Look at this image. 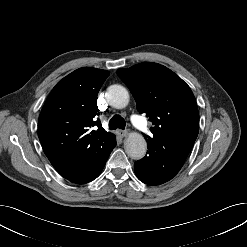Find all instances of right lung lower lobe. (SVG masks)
Masks as SVG:
<instances>
[{
  "label": "right lung lower lobe",
  "instance_id": "right-lung-lower-lobe-1",
  "mask_svg": "<svg viewBox=\"0 0 247 247\" xmlns=\"http://www.w3.org/2000/svg\"><path fill=\"white\" fill-rule=\"evenodd\" d=\"M115 146H116V138L103 152L96 155H92L85 161L73 165L68 169L61 171L59 173L62 175V177L73 183L76 184L88 183L100 175L111 151L115 148Z\"/></svg>",
  "mask_w": 247,
  "mask_h": 247
}]
</instances>
